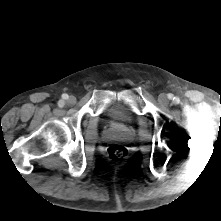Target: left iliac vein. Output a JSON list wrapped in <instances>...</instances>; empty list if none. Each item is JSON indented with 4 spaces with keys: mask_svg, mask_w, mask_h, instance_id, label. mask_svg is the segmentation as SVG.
Listing matches in <instances>:
<instances>
[{
    "mask_svg": "<svg viewBox=\"0 0 221 221\" xmlns=\"http://www.w3.org/2000/svg\"><path fill=\"white\" fill-rule=\"evenodd\" d=\"M158 101H159L161 104H164V105H165V104H167V103L169 102V99H168V97H167L166 94L162 93V94L159 95Z\"/></svg>",
    "mask_w": 221,
    "mask_h": 221,
    "instance_id": "4c4485c4",
    "label": "left iliac vein"
}]
</instances>
